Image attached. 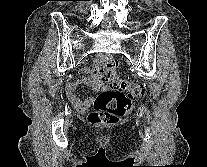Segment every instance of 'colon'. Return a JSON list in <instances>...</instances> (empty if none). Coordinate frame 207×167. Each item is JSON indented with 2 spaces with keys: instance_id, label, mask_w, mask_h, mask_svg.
<instances>
[{
  "instance_id": "1",
  "label": "colon",
  "mask_w": 207,
  "mask_h": 167,
  "mask_svg": "<svg viewBox=\"0 0 207 167\" xmlns=\"http://www.w3.org/2000/svg\"><path fill=\"white\" fill-rule=\"evenodd\" d=\"M117 61L108 59L96 71L102 75L105 88L97 95L89 121L97 124H115L132 112V100L143 95L142 84L116 74Z\"/></svg>"
}]
</instances>
